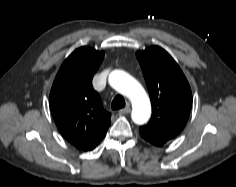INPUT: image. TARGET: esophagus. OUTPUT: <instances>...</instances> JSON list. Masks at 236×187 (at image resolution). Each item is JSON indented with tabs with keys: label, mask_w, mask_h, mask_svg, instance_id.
Wrapping results in <instances>:
<instances>
[{
	"label": "esophagus",
	"mask_w": 236,
	"mask_h": 187,
	"mask_svg": "<svg viewBox=\"0 0 236 187\" xmlns=\"http://www.w3.org/2000/svg\"><path fill=\"white\" fill-rule=\"evenodd\" d=\"M130 111H131L130 107L127 106V107L119 110L118 113H119V115H124V114L130 113Z\"/></svg>",
	"instance_id": "1"
}]
</instances>
